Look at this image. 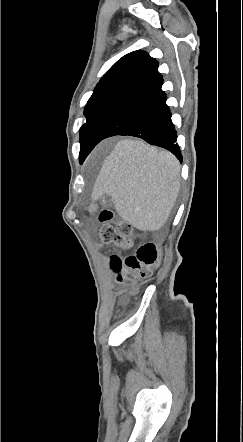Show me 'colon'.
<instances>
[{"label": "colon", "instance_id": "1", "mask_svg": "<svg viewBox=\"0 0 243 442\" xmlns=\"http://www.w3.org/2000/svg\"><path fill=\"white\" fill-rule=\"evenodd\" d=\"M112 214L104 211L100 214L99 220L102 223L99 230V238L105 244L115 245L119 249L128 250L132 247L133 229L126 221L110 222ZM161 252L158 247L145 242L140 245L135 254L128 256L124 261L113 256L111 267L116 279L121 283L128 294H134L137 288V281L140 278L148 277L151 268L160 260Z\"/></svg>", "mask_w": 243, "mask_h": 442}]
</instances>
